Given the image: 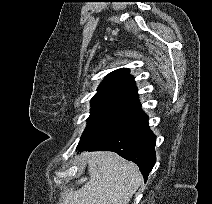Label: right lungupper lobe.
I'll return each mask as SVG.
<instances>
[{
  "mask_svg": "<svg viewBox=\"0 0 212 204\" xmlns=\"http://www.w3.org/2000/svg\"><path fill=\"white\" fill-rule=\"evenodd\" d=\"M137 96L134 77L129 74V69L122 68L106 76L91 102L106 100L140 104Z\"/></svg>",
  "mask_w": 212,
  "mask_h": 204,
  "instance_id": "1",
  "label": "right lung upper lobe"
}]
</instances>
